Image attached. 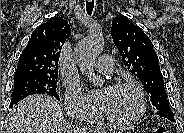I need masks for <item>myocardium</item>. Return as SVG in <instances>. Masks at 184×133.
Here are the masks:
<instances>
[{
	"label": "myocardium",
	"mask_w": 184,
	"mask_h": 133,
	"mask_svg": "<svg viewBox=\"0 0 184 133\" xmlns=\"http://www.w3.org/2000/svg\"><path fill=\"white\" fill-rule=\"evenodd\" d=\"M112 87L132 89L138 97V101H139L138 110L132 116L124 118V119L112 118L106 115L105 113H103V111L101 113V117L108 123L114 126H119V127L129 126V125H132L138 122L144 116L147 110V99H146L145 93L143 89L141 88V86L137 82L132 81V80H122V81H118L114 83Z\"/></svg>",
	"instance_id": "1"
}]
</instances>
